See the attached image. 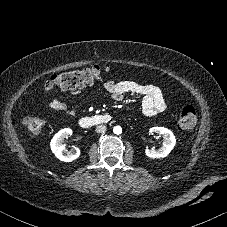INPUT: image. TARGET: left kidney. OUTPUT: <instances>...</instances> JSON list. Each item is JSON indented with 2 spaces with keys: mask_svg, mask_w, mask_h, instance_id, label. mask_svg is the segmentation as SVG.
Segmentation results:
<instances>
[{
  "mask_svg": "<svg viewBox=\"0 0 227 227\" xmlns=\"http://www.w3.org/2000/svg\"><path fill=\"white\" fill-rule=\"evenodd\" d=\"M150 133H157L163 136L162 147L156 149H146L145 154L149 158H163L166 157L176 144V139L173 132L165 127H152Z\"/></svg>",
  "mask_w": 227,
  "mask_h": 227,
  "instance_id": "left-kidney-1",
  "label": "left kidney"
}]
</instances>
